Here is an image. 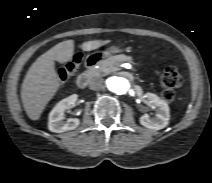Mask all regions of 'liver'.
<instances>
[{"label": "liver", "instance_id": "6515ba94", "mask_svg": "<svg viewBox=\"0 0 212 183\" xmlns=\"http://www.w3.org/2000/svg\"><path fill=\"white\" fill-rule=\"evenodd\" d=\"M106 41L94 40L82 43L83 51H91L103 46ZM74 55V41L58 43L42 54L29 68L21 88V100L26 114L31 120H38L48 102L55 96L61 85L55 70V61L66 63Z\"/></svg>", "mask_w": 212, "mask_h": 183}]
</instances>
